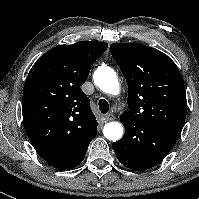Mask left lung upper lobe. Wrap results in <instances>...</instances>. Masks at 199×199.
<instances>
[{
    "label": "left lung upper lobe",
    "mask_w": 199,
    "mask_h": 199,
    "mask_svg": "<svg viewBox=\"0 0 199 199\" xmlns=\"http://www.w3.org/2000/svg\"><path fill=\"white\" fill-rule=\"evenodd\" d=\"M110 51L129 87L128 110L120 120L133 118L178 139L187 100L176 64L166 54L142 44H111Z\"/></svg>",
    "instance_id": "obj_1"
}]
</instances>
